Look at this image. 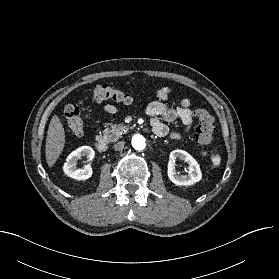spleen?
<instances>
[{"label": "spleen", "mask_w": 279, "mask_h": 279, "mask_svg": "<svg viewBox=\"0 0 279 279\" xmlns=\"http://www.w3.org/2000/svg\"><path fill=\"white\" fill-rule=\"evenodd\" d=\"M212 161H213L214 166H219L221 158H220V156H215Z\"/></svg>", "instance_id": "1"}]
</instances>
